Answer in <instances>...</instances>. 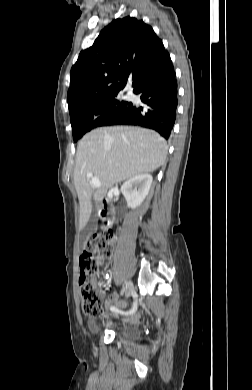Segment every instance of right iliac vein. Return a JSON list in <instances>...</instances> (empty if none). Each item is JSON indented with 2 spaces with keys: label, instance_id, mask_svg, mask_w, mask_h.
Wrapping results in <instances>:
<instances>
[{
  "label": "right iliac vein",
  "instance_id": "obj_1",
  "mask_svg": "<svg viewBox=\"0 0 252 390\" xmlns=\"http://www.w3.org/2000/svg\"><path fill=\"white\" fill-rule=\"evenodd\" d=\"M126 290H125V296L126 298H129L130 296L133 295V292H134V286H133V283L131 281H128L126 283Z\"/></svg>",
  "mask_w": 252,
  "mask_h": 390
}]
</instances>
